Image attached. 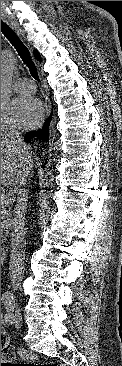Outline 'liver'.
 <instances>
[{
    "mask_svg": "<svg viewBox=\"0 0 122 366\" xmlns=\"http://www.w3.org/2000/svg\"><path fill=\"white\" fill-rule=\"evenodd\" d=\"M28 152L29 158L27 155V160H24L22 152L12 144H8L5 133L1 132V185L15 187L23 177L31 176L34 159L30 150Z\"/></svg>",
    "mask_w": 122,
    "mask_h": 366,
    "instance_id": "obj_1",
    "label": "liver"
}]
</instances>
